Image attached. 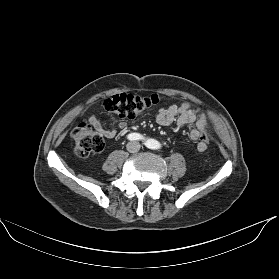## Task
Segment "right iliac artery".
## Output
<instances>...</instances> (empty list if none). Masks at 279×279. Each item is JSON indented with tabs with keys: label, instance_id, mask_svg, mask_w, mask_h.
<instances>
[{
	"label": "right iliac artery",
	"instance_id": "82829eb1",
	"mask_svg": "<svg viewBox=\"0 0 279 279\" xmlns=\"http://www.w3.org/2000/svg\"><path fill=\"white\" fill-rule=\"evenodd\" d=\"M127 138H128V140H131V141L144 139L143 136L138 134V133H131V134L128 135Z\"/></svg>",
	"mask_w": 279,
	"mask_h": 279
}]
</instances>
